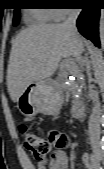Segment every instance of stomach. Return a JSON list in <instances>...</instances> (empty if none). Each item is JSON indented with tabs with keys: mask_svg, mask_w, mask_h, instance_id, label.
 Here are the masks:
<instances>
[{
	"mask_svg": "<svg viewBox=\"0 0 104 169\" xmlns=\"http://www.w3.org/2000/svg\"><path fill=\"white\" fill-rule=\"evenodd\" d=\"M61 90L54 82L40 80L30 83L16 102L19 112L25 117L38 113L55 114L62 106Z\"/></svg>",
	"mask_w": 104,
	"mask_h": 169,
	"instance_id": "0dacf381",
	"label": "stomach"
}]
</instances>
